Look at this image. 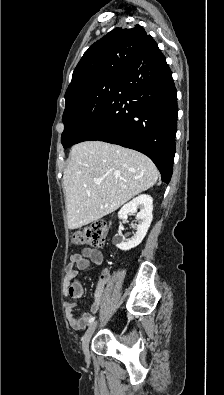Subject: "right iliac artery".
<instances>
[{
	"label": "right iliac artery",
	"instance_id": "obj_1",
	"mask_svg": "<svg viewBox=\"0 0 224 395\" xmlns=\"http://www.w3.org/2000/svg\"><path fill=\"white\" fill-rule=\"evenodd\" d=\"M94 320H95V317H91L90 320H89V323L94 322Z\"/></svg>",
	"mask_w": 224,
	"mask_h": 395
}]
</instances>
